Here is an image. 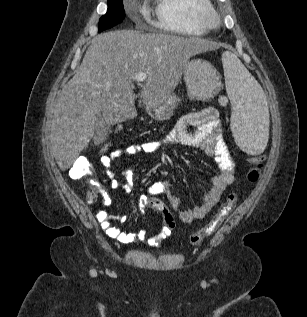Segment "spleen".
Returning <instances> with one entry per match:
<instances>
[{"label": "spleen", "mask_w": 307, "mask_h": 317, "mask_svg": "<svg viewBox=\"0 0 307 317\" xmlns=\"http://www.w3.org/2000/svg\"><path fill=\"white\" fill-rule=\"evenodd\" d=\"M228 97L234 106L231 131L236 144L246 153L264 151L269 135V113L264 93L236 55L222 54Z\"/></svg>", "instance_id": "spleen-1"}]
</instances>
